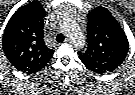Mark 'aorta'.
<instances>
[{
    "label": "aorta",
    "instance_id": "762f6f07",
    "mask_svg": "<svg viewBox=\"0 0 135 95\" xmlns=\"http://www.w3.org/2000/svg\"><path fill=\"white\" fill-rule=\"evenodd\" d=\"M70 35L74 40L76 46L82 47L85 45V37L80 31L77 30L74 33H71Z\"/></svg>",
    "mask_w": 135,
    "mask_h": 95
}]
</instances>
